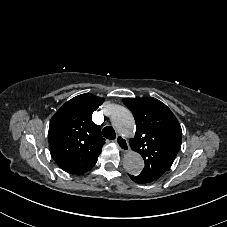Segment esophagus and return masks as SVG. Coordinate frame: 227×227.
<instances>
[{
    "instance_id": "obj_1",
    "label": "esophagus",
    "mask_w": 227,
    "mask_h": 227,
    "mask_svg": "<svg viewBox=\"0 0 227 227\" xmlns=\"http://www.w3.org/2000/svg\"><path fill=\"white\" fill-rule=\"evenodd\" d=\"M115 142L121 151L127 152L129 150V143L122 135H117Z\"/></svg>"
}]
</instances>
